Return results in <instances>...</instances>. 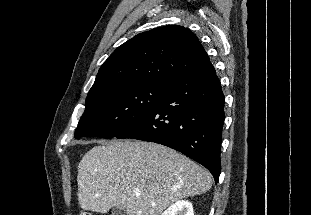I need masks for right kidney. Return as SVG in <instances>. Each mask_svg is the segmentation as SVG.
Wrapping results in <instances>:
<instances>
[{
	"label": "right kidney",
	"instance_id": "obj_1",
	"mask_svg": "<svg viewBox=\"0 0 311 215\" xmlns=\"http://www.w3.org/2000/svg\"><path fill=\"white\" fill-rule=\"evenodd\" d=\"M161 215H194L192 203L180 200L172 204Z\"/></svg>",
	"mask_w": 311,
	"mask_h": 215
}]
</instances>
